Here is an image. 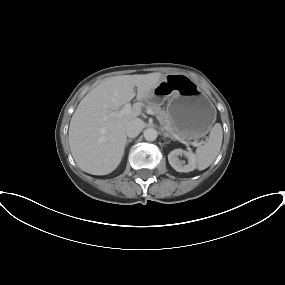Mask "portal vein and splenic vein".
<instances>
[{"mask_svg":"<svg viewBox=\"0 0 285 285\" xmlns=\"http://www.w3.org/2000/svg\"><path fill=\"white\" fill-rule=\"evenodd\" d=\"M131 110H132L131 104L130 103H126L122 107V109L120 111H118L117 113H114V115L117 116V117H122V116H124L126 114H129L131 112ZM147 113L150 114V115H155V113L152 110H150V109L147 110ZM165 129L167 131H169L167 128H165ZM171 134L173 135L174 138H176L178 141H180V142H182L184 144H189V145H192V146H198V145L204 143L203 141L199 142V143L198 142H192V141H186V140L180 138L177 134H174L172 132H171Z\"/></svg>","mask_w":285,"mask_h":285,"instance_id":"portal-vein-and-splenic-vein-1","label":"portal vein and splenic vein"}]
</instances>
